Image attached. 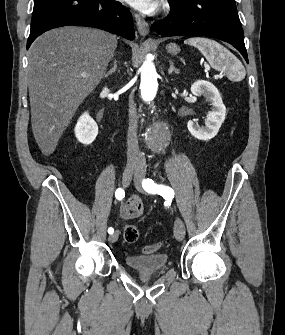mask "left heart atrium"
<instances>
[{
    "mask_svg": "<svg viewBox=\"0 0 285 335\" xmlns=\"http://www.w3.org/2000/svg\"><path fill=\"white\" fill-rule=\"evenodd\" d=\"M124 2L142 11H151L155 7V1H124Z\"/></svg>",
    "mask_w": 285,
    "mask_h": 335,
    "instance_id": "1",
    "label": "left heart atrium"
}]
</instances>
